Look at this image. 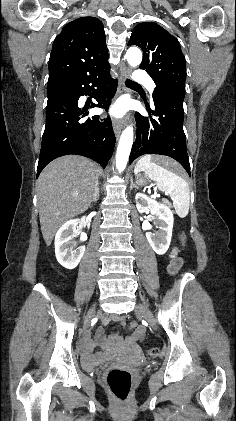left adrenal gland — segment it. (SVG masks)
I'll return each instance as SVG.
<instances>
[{
	"instance_id": "a2214340",
	"label": "left adrenal gland",
	"mask_w": 236,
	"mask_h": 421,
	"mask_svg": "<svg viewBox=\"0 0 236 421\" xmlns=\"http://www.w3.org/2000/svg\"><path fill=\"white\" fill-rule=\"evenodd\" d=\"M130 180H131L130 188H133V186H136V184H134V182H133V176H130Z\"/></svg>"
}]
</instances>
